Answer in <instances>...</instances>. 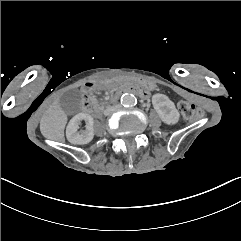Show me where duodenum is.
<instances>
[{
  "label": "duodenum",
  "instance_id": "duodenum-1",
  "mask_svg": "<svg viewBox=\"0 0 241 241\" xmlns=\"http://www.w3.org/2000/svg\"><path fill=\"white\" fill-rule=\"evenodd\" d=\"M100 85L99 82H91L87 84V86L83 90L84 95V107L87 111H89L93 116L98 117L101 114V108L96 106L91 98V93ZM126 93H132L136 94L142 98H145L148 96V92L142 88H139L134 85L125 86L119 90H116L113 92L109 98L110 102L116 101L119 97H121L123 94Z\"/></svg>",
  "mask_w": 241,
  "mask_h": 241
}]
</instances>
